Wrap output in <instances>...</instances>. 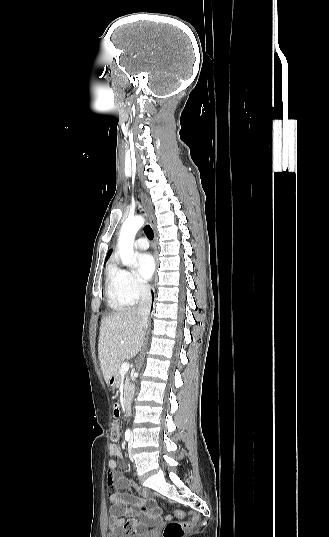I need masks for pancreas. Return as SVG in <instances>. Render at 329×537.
I'll use <instances>...</instances> for the list:
<instances>
[{
    "instance_id": "pancreas-1",
    "label": "pancreas",
    "mask_w": 329,
    "mask_h": 537,
    "mask_svg": "<svg viewBox=\"0 0 329 537\" xmlns=\"http://www.w3.org/2000/svg\"><path fill=\"white\" fill-rule=\"evenodd\" d=\"M116 377V386L119 387L124 379H125V384H124V387H125V391H124V398L125 399H128V396H129V392L133 389V386L131 385L130 381H129V378L128 376L124 373V375H122V372H121V368H119L117 370V373L115 375Z\"/></svg>"
}]
</instances>
